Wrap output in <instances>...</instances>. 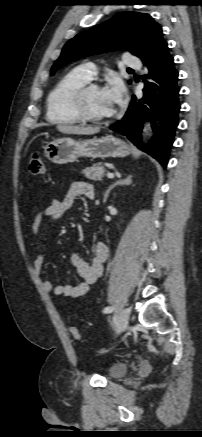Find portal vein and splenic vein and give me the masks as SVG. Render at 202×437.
Segmentation results:
<instances>
[{
    "label": "portal vein and splenic vein",
    "mask_w": 202,
    "mask_h": 437,
    "mask_svg": "<svg viewBox=\"0 0 202 437\" xmlns=\"http://www.w3.org/2000/svg\"><path fill=\"white\" fill-rule=\"evenodd\" d=\"M114 176H115L114 173H108V174H107V177H108V178H114Z\"/></svg>",
    "instance_id": "portal-vein-and-splenic-vein-1"
}]
</instances>
